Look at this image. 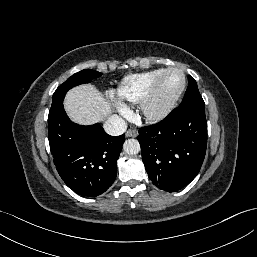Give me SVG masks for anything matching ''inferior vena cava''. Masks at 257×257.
I'll list each match as a JSON object with an SVG mask.
<instances>
[{"mask_svg": "<svg viewBox=\"0 0 257 257\" xmlns=\"http://www.w3.org/2000/svg\"><path fill=\"white\" fill-rule=\"evenodd\" d=\"M104 130L112 136L122 135L127 129V123L117 115L110 116L104 123Z\"/></svg>", "mask_w": 257, "mask_h": 257, "instance_id": "1", "label": "inferior vena cava"}]
</instances>
